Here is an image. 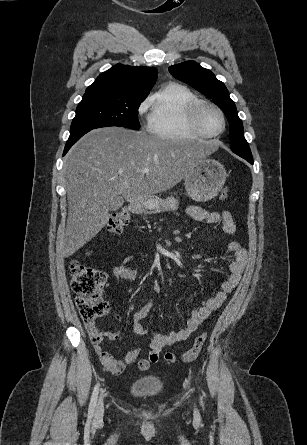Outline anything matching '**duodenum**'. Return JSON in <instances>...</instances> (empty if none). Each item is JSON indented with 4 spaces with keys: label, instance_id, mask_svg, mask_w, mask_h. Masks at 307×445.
<instances>
[{
    "label": "duodenum",
    "instance_id": "410a0bca",
    "mask_svg": "<svg viewBox=\"0 0 307 445\" xmlns=\"http://www.w3.org/2000/svg\"><path fill=\"white\" fill-rule=\"evenodd\" d=\"M143 206H144V201L142 199H138L131 204L130 210L133 213H139L142 211Z\"/></svg>",
    "mask_w": 307,
    "mask_h": 445
}]
</instances>
